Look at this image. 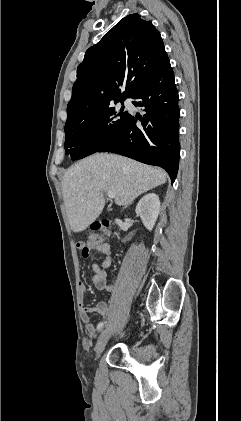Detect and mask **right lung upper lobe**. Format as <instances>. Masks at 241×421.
<instances>
[{
  "mask_svg": "<svg viewBox=\"0 0 241 421\" xmlns=\"http://www.w3.org/2000/svg\"><path fill=\"white\" fill-rule=\"evenodd\" d=\"M165 57L161 35L151 21L138 14L123 18L86 51L77 68L65 126L130 98Z\"/></svg>",
  "mask_w": 241,
  "mask_h": 421,
  "instance_id": "1",
  "label": "right lung upper lobe"
}]
</instances>
